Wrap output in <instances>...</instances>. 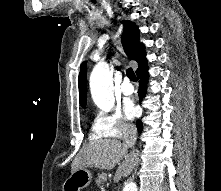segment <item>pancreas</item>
<instances>
[{
	"label": "pancreas",
	"instance_id": "1",
	"mask_svg": "<svg viewBox=\"0 0 221 191\" xmlns=\"http://www.w3.org/2000/svg\"><path fill=\"white\" fill-rule=\"evenodd\" d=\"M107 179V174L106 173H99L97 178H96V184L99 187H102V182Z\"/></svg>",
	"mask_w": 221,
	"mask_h": 191
}]
</instances>
